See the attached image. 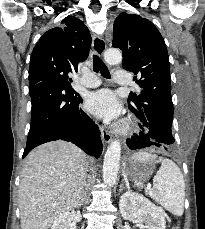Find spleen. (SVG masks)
<instances>
[{
    "label": "spleen",
    "instance_id": "1",
    "mask_svg": "<svg viewBox=\"0 0 205 229\" xmlns=\"http://www.w3.org/2000/svg\"><path fill=\"white\" fill-rule=\"evenodd\" d=\"M160 162L161 167L154 176L153 188L147 187L150 197L176 216L184 212L185 182L179 167L170 159L157 157L148 152H137L131 157L132 163L151 164ZM137 186H142L136 181Z\"/></svg>",
    "mask_w": 205,
    "mask_h": 229
}]
</instances>
